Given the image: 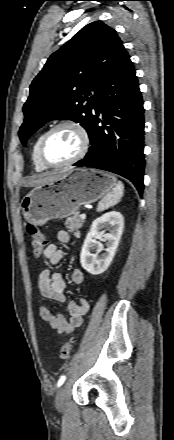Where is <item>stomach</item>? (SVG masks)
I'll return each instance as SVG.
<instances>
[{"instance_id":"obj_1","label":"stomach","mask_w":174,"mask_h":440,"mask_svg":"<svg viewBox=\"0 0 174 440\" xmlns=\"http://www.w3.org/2000/svg\"><path fill=\"white\" fill-rule=\"evenodd\" d=\"M109 173L78 168L61 173L56 179L34 187L21 201L24 218L35 225L63 219L109 193L116 185Z\"/></svg>"}]
</instances>
